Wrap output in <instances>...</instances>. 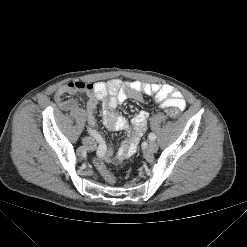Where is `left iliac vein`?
Instances as JSON below:
<instances>
[{
    "label": "left iliac vein",
    "mask_w": 247,
    "mask_h": 247,
    "mask_svg": "<svg viewBox=\"0 0 247 247\" xmlns=\"http://www.w3.org/2000/svg\"><path fill=\"white\" fill-rule=\"evenodd\" d=\"M158 150V144L155 141H151L147 148H146V153L147 154H153Z\"/></svg>",
    "instance_id": "obj_1"
}]
</instances>
